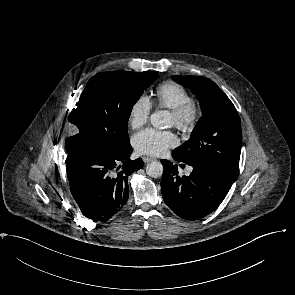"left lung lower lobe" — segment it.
<instances>
[{
  "mask_svg": "<svg viewBox=\"0 0 295 295\" xmlns=\"http://www.w3.org/2000/svg\"><path fill=\"white\" fill-rule=\"evenodd\" d=\"M175 160L183 162L172 153ZM164 172L161 191L167 206L178 216L197 220L213 212L224 200L233 182L220 171L203 164L193 167L190 176L180 177L178 168L168 160H161Z\"/></svg>",
  "mask_w": 295,
  "mask_h": 295,
  "instance_id": "left-lung-lower-lobe-1",
  "label": "left lung lower lobe"
}]
</instances>
